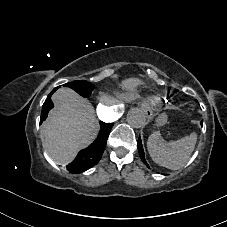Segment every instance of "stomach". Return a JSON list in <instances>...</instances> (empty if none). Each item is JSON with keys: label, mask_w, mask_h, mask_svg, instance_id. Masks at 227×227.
Here are the masks:
<instances>
[{"label": "stomach", "mask_w": 227, "mask_h": 227, "mask_svg": "<svg viewBox=\"0 0 227 227\" xmlns=\"http://www.w3.org/2000/svg\"><path fill=\"white\" fill-rule=\"evenodd\" d=\"M167 122V115L166 114H161L158 119H157V123L159 125H164Z\"/></svg>", "instance_id": "0dacf381"}]
</instances>
